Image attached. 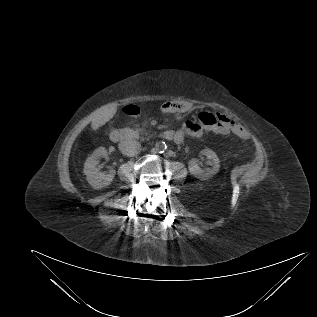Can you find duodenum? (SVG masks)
<instances>
[{
	"instance_id": "obj_1",
	"label": "duodenum",
	"mask_w": 317,
	"mask_h": 317,
	"mask_svg": "<svg viewBox=\"0 0 317 317\" xmlns=\"http://www.w3.org/2000/svg\"><path fill=\"white\" fill-rule=\"evenodd\" d=\"M162 138L167 140H172L175 138V134L172 130L164 131L161 134ZM139 137V134L134 130H126V129H120L116 128L112 130L110 138L114 142H123L127 140H134Z\"/></svg>"
}]
</instances>
